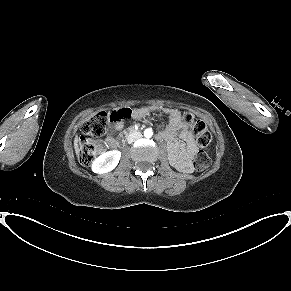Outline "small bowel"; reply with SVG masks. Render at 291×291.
Instances as JSON below:
<instances>
[{
  "label": "small bowel",
  "mask_w": 291,
  "mask_h": 291,
  "mask_svg": "<svg viewBox=\"0 0 291 291\" xmlns=\"http://www.w3.org/2000/svg\"><path fill=\"white\" fill-rule=\"evenodd\" d=\"M156 107H141L132 111V117L140 119L149 114ZM168 118V123L160 133L159 137L164 139L168 144V150L173 163L183 172H190V159L197 152L195 137L191 129L183 120L182 114L177 109L161 108L160 109ZM125 125V120L114 121L111 130L107 135L106 141L111 147H115L116 140L112 134L113 130H121ZM179 133V138L183 143L175 140V134Z\"/></svg>",
  "instance_id": "c3829d8e"
}]
</instances>
